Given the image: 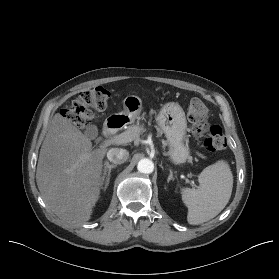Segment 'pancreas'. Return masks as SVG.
I'll return each mask as SVG.
<instances>
[{
  "instance_id": "1",
  "label": "pancreas",
  "mask_w": 279,
  "mask_h": 279,
  "mask_svg": "<svg viewBox=\"0 0 279 279\" xmlns=\"http://www.w3.org/2000/svg\"><path fill=\"white\" fill-rule=\"evenodd\" d=\"M145 131L142 125H131L127 128L125 132H129L134 139L138 138L140 134Z\"/></svg>"
}]
</instances>
